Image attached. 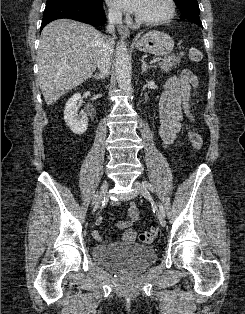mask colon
<instances>
[{
	"instance_id": "obj_1",
	"label": "colon",
	"mask_w": 245,
	"mask_h": 314,
	"mask_svg": "<svg viewBox=\"0 0 245 314\" xmlns=\"http://www.w3.org/2000/svg\"><path fill=\"white\" fill-rule=\"evenodd\" d=\"M188 57L191 62H199L202 59V52L197 48H191L188 52ZM188 139L191 146L196 150H199L203 145L202 137L196 131L190 130L188 132ZM156 233L157 231L155 228L143 232L139 235V241L142 243H151L154 241Z\"/></svg>"
}]
</instances>
